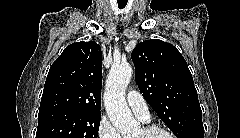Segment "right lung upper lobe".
Here are the masks:
<instances>
[{
	"mask_svg": "<svg viewBox=\"0 0 240 138\" xmlns=\"http://www.w3.org/2000/svg\"><path fill=\"white\" fill-rule=\"evenodd\" d=\"M101 88L100 45L94 41L73 43L48 72L39 115L61 110L101 113Z\"/></svg>",
	"mask_w": 240,
	"mask_h": 138,
	"instance_id": "right-lung-upper-lobe-1",
	"label": "right lung upper lobe"
}]
</instances>
